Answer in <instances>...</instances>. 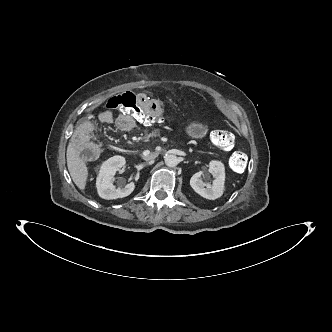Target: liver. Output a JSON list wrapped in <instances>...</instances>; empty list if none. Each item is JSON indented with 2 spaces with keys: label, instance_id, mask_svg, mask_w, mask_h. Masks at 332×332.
Here are the masks:
<instances>
[{
  "label": "liver",
  "instance_id": "1",
  "mask_svg": "<svg viewBox=\"0 0 332 332\" xmlns=\"http://www.w3.org/2000/svg\"><path fill=\"white\" fill-rule=\"evenodd\" d=\"M66 158L67 167L73 182L79 189L84 190L88 177V168L86 163L80 158L79 152L72 142L67 147Z\"/></svg>",
  "mask_w": 332,
  "mask_h": 332
}]
</instances>
